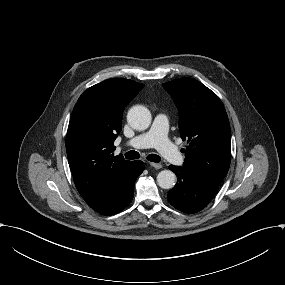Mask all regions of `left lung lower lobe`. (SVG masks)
I'll use <instances>...</instances> for the list:
<instances>
[{
    "label": "left lung lower lobe",
    "instance_id": "obj_1",
    "mask_svg": "<svg viewBox=\"0 0 285 285\" xmlns=\"http://www.w3.org/2000/svg\"><path fill=\"white\" fill-rule=\"evenodd\" d=\"M177 175V184L168 192V201L185 213H196L205 208L218 191L219 186L207 183L180 166L170 165Z\"/></svg>",
    "mask_w": 285,
    "mask_h": 285
}]
</instances>
